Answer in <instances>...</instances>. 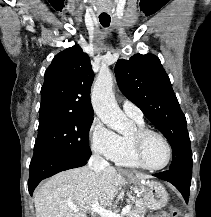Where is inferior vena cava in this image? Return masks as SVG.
<instances>
[{"instance_id":"1","label":"inferior vena cava","mask_w":211,"mask_h":217,"mask_svg":"<svg viewBox=\"0 0 211 217\" xmlns=\"http://www.w3.org/2000/svg\"><path fill=\"white\" fill-rule=\"evenodd\" d=\"M88 164L96 174H99L103 169L109 166V163L98 153H95L90 157Z\"/></svg>"}]
</instances>
